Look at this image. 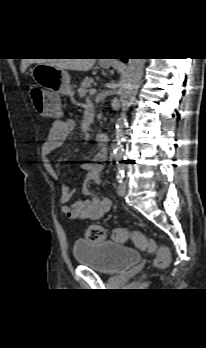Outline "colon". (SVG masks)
<instances>
[{
    "mask_svg": "<svg viewBox=\"0 0 206 348\" xmlns=\"http://www.w3.org/2000/svg\"><path fill=\"white\" fill-rule=\"evenodd\" d=\"M29 94L37 109L47 115L56 116L59 114L58 103L51 95H46L42 88L36 84L29 86ZM107 236L106 229L101 225H90L85 230V238L91 242L103 241ZM112 239L119 243L131 240L139 249L155 253L153 266L155 268H165L170 262V252L165 246H158L156 241L144 236L140 232L130 233L127 229L117 228L112 232Z\"/></svg>",
    "mask_w": 206,
    "mask_h": 348,
    "instance_id": "obj_1",
    "label": "colon"
}]
</instances>
